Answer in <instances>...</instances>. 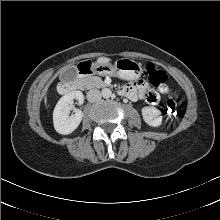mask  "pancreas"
<instances>
[{"instance_id":"pancreas-1","label":"pancreas","mask_w":220,"mask_h":220,"mask_svg":"<svg viewBox=\"0 0 220 220\" xmlns=\"http://www.w3.org/2000/svg\"><path fill=\"white\" fill-rule=\"evenodd\" d=\"M81 83L86 89L102 88L106 86L104 81L98 76H87L81 79Z\"/></svg>"}]
</instances>
